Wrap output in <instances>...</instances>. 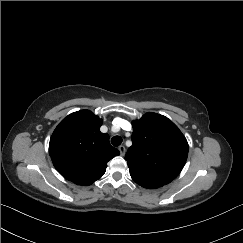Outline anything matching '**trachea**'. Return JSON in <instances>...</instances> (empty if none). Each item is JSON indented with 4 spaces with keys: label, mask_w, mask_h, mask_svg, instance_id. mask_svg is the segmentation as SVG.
<instances>
[{
    "label": "trachea",
    "mask_w": 243,
    "mask_h": 243,
    "mask_svg": "<svg viewBox=\"0 0 243 243\" xmlns=\"http://www.w3.org/2000/svg\"><path fill=\"white\" fill-rule=\"evenodd\" d=\"M111 143H112L113 146L117 147L122 143V138L120 136H114L111 139Z\"/></svg>",
    "instance_id": "obj_1"
}]
</instances>
